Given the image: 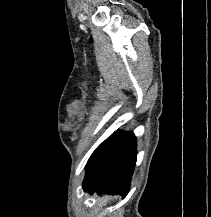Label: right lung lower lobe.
I'll use <instances>...</instances> for the list:
<instances>
[{
    "label": "right lung lower lobe",
    "mask_w": 211,
    "mask_h": 217,
    "mask_svg": "<svg viewBox=\"0 0 211 217\" xmlns=\"http://www.w3.org/2000/svg\"><path fill=\"white\" fill-rule=\"evenodd\" d=\"M136 138L133 133H114L92 154L83 181L90 194H120L125 198L136 164Z\"/></svg>",
    "instance_id": "right-lung-lower-lobe-1"
}]
</instances>
